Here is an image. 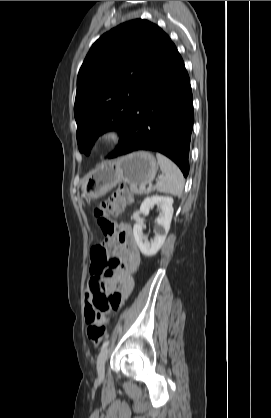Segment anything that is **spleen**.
Segmentation results:
<instances>
[{
	"mask_svg": "<svg viewBox=\"0 0 271 418\" xmlns=\"http://www.w3.org/2000/svg\"><path fill=\"white\" fill-rule=\"evenodd\" d=\"M163 176L156 183L159 192L180 197L184 189V177L178 166L160 153L156 154Z\"/></svg>",
	"mask_w": 271,
	"mask_h": 418,
	"instance_id": "3e777b00",
	"label": "spleen"
}]
</instances>
